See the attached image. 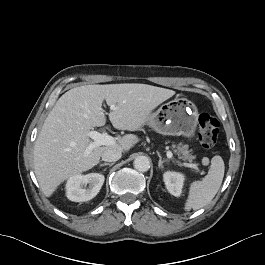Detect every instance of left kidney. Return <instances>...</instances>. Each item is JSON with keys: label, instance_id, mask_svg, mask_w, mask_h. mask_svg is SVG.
Segmentation results:
<instances>
[{"label": "left kidney", "instance_id": "left-kidney-1", "mask_svg": "<svg viewBox=\"0 0 265 265\" xmlns=\"http://www.w3.org/2000/svg\"><path fill=\"white\" fill-rule=\"evenodd\" d=\"M184 175L178 172L167 171L163 174L168 192L176 197L180 196L184 183Z\"/></svg>", "mask_w": 265, "mask_h": 265}]
</instances>
